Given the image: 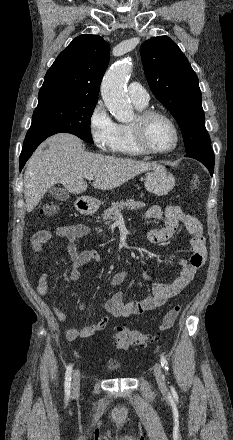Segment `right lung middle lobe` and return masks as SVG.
I'll return each instance as SVG.
<instances>
[{
    "mask_svg": "<svg viewBox=\"0 0 233 440\" xmlns=\"http://www.w3.org/2000/svg\"><path fill=\"white\" fill-rule=\"evenodd\" d=\"M97 100L54 98L38 103L28 132L74 134L93 143L90 120Z\"/></svg>",
    "mask_w": 233,
    "mask_h": 440,
    "instance_id": "dd1d6c3e",
    "label": "right lung middle lobe"
}]
</instances>
